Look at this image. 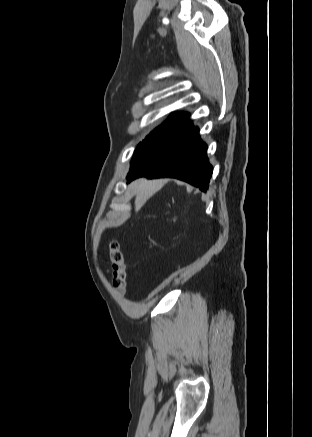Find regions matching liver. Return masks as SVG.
Instances as JSON below:
<instances>
[{"instance_id": "liver-1", "label": "liver", "mask_w": 312, "mask_h": 437, "mask_svg": "<svg viewBox=\"0 0 312 437\" xmlns=\"http://www.w3.org/2000/svg\"><path fill=\"white\" fill-rule=\"evenodd\" d=\"M167 182V179H138L134 181L131 184L130 189L135 194V211H138L146 201L158 192Z\"/></svg>"}]
</instances>
